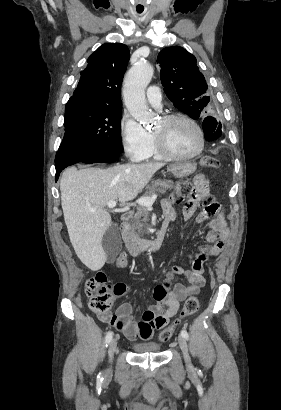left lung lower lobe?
Instances as JSON below:
<instances>
[{
  "instance_id": "1",
  "label": "left lung lower lobe",
  "mask_w": 281,
  "mask_h": 410,
  "mask_svg": "<svg viewBox=\"0 0 281 410\" xmlns=\"http://www.w3.org/2000/svg\"><path fill=\"white\" fill-rule=\"evenodd\" d=\"M220 130V124L214 117L207 116L203 121V131L205 133V139L212 141L220 137L218 131Z\"/></svg>"
}]
</instances>
